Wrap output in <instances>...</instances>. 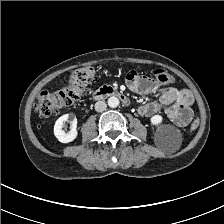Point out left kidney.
Returning <instances> with one entry per match:
<instances>
[{
	"mask_svg": "<svg viewBox=\"0 0 224 224\" xmlns=\"http://www.w3.org/2000/svg\"><path fill=\"white\" fill-rule=\"evenodd\" d=\"M150 121H151L152 125L156 126V125H159V124L162 123L163 118L160 115H154V116L151 117Z\"/></svg>",
	"mask_w": 224,
	"mask_h": 224,
	"instance_id": "left-kidney-1",
	"label": "left kidney"
}]
</instances>
